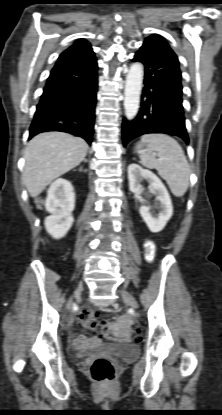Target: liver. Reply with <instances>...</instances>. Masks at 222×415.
I'll return each mask as SVG.
<instances>
[{"mask_svg":"<svg viewBox=\"0 0 222 415\" xmlns=\"http://www.w3.org/2000/svg\"><path fill=\"white\" fill-rule=\"evenodd\" d=\"M88 144L63 132L35 136L27 145L22 181L32 197L38 196L53 180L78 166Z\"/></svg>","mask_w":222,"mask_h":415,"instance_id":"liver-1","label":"liver"}]
</instances>
